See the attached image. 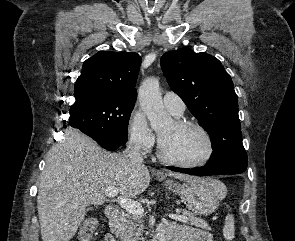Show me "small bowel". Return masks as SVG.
I'll use <instances>...</instances> for the list:
<instances>
[{
	"label": "small bowel",
	"mask_w": 295,
	"mask_h": 241,
	"mask_svg": "<svg viewBox=\"0 0 295 241\" xmlns=\"http://www.w3.org/2000/svg\"><path fill=\"white\" fill-rule=\"evenodd\" d=\"M159 233L169 235L171 241H212L205 231L173 223L162 225ZM105 241H114V238L108 235Z\"/></svg>",
	"instance_id": "c3829d8e"
}]
</instances>
